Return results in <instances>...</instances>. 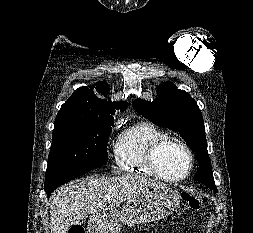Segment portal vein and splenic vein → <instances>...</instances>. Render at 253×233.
Wrapping results in <instances>:
<instances>
[{"instance_id":"18ae733b","label":"portal vein and splenic vein","mask_w":253,"mask_h":233,"mask_svg":"<svg viewBox=\"0 0 253 233\" xmlns=\"http://www.w3.org/2000/svg\"><path fill=\"white\" fill-rule=\"evenodd\" d=\"M111 196L110 195H107L106 197H105V200H108V201H110L111 200Z\"/></svg>"}]
</instances>
